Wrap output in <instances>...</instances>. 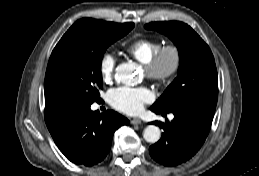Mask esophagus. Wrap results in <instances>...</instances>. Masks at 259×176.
<instances>
[{"label": "esophagus", "instance_id": "1", "mask_svg": "<svg viewBox=\"0 0 259 176\" xmlns=\"http://www.w3.org/2000/svg\"><path fill=\"white\" fill-rule=\"evenodd\" d=\"M131 124L140 125V124H142V120L139 119V118H134V119L131 120Z\"/></svg>", "mask_w": 259, "mask_h": 176}]
</instances>
